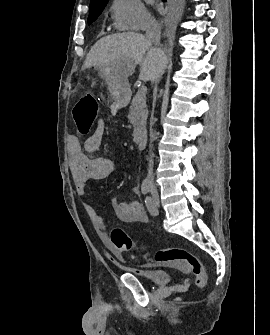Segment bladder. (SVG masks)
Segmentation results:
<instances>
[{
    "instance_id": "1",
    "label": "bladder",
    "mask_w": 270,
    "mask_h": 335,
    "mask_svg": "<svg viewBox=\"0 0 270 335\" xmlns=\"http://www.w3.org/2000/svg\"><path fill=\"white\" fill-rule=\"evenodd\" d=\"M130 272L139 275L141 280L147 283H154L157 285L166 286L171 279V272L165 269L152 270V271H130Z\"/></svg>"
}]
</instances>
